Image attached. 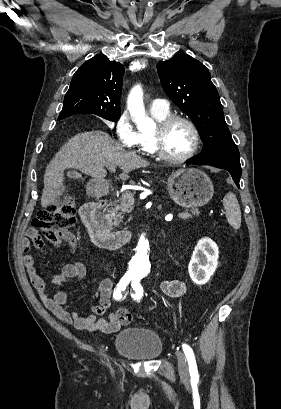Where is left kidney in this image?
Returning <instances> with one entry per match:
<instances>
[{"mask_svg":"<svg viewBox=\"0 0 281 409\" xmlns=\"http://www.w3.org/2000/svg\"><path fill=\"white\" fill-rule=\"evenodd\" d=\"M218 257L219 251L214 241L208 237L198 241L188 265V273L196 285L208 283L217 269Z\"/></svg>","mask_w":281,"mask_h":409,"instance_id":"obj_1","label":"left kidney"}]
</instances>
